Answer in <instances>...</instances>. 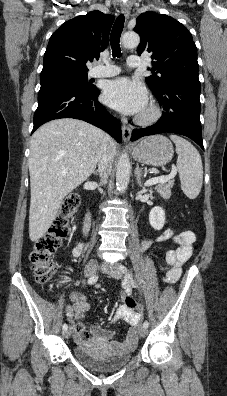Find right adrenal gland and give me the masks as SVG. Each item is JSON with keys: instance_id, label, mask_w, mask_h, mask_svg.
I'll use <instances>...</instances> for the list:
<instances>
[{"instance_id": "obj_1", "label": "right adrenal gland", "mask_w": 227, "mask_h": 396, "mask_svg": "<svg viewBox=\"0 0 227 396\" xmlns=\"http://www.w3.org/2000/svg\"><path fill=\"white\" fill-rule=\"evenodd\" d=\"M93 174H94V175H98L99 172H98L97 170H95V171H93Z\"/></svg>"}]
</instances>
